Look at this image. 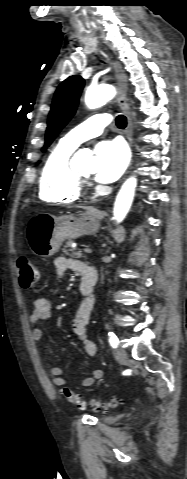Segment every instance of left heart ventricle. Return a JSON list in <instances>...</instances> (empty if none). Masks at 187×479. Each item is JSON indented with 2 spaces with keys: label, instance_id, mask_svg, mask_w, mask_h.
<instances>
[{
  "label": "left heart ventricle",
  "instance_id": "1",
  "mask_svg": "<svg viewBox=\"0 0 187 479\" xmlns=\"http://www.w3.org/2000/svg\"><path fill=\"white\" fill-rule=\"evenodd\" d=\"M81 173L84 174V175H86V176L91 175V173H90L89 171H82Z\"/></svg>",
  "mask_w": 187,
  "mask_h": 479
}]
</instances>
